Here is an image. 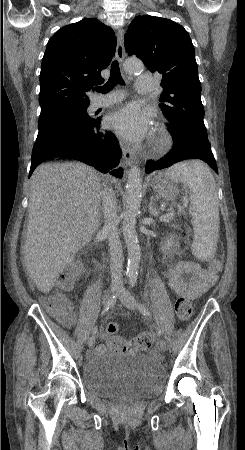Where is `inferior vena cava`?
<instances>
[{"label":"inferior vena cava","instance_id":"1","mask_svg":"<svg viewBox=\"0 0 245 450\" xmlns=\"http://www.w3.org/2000/svg\"><path fill=\"white\" fill-rule=\"evenodd\" d=\"M117 200L112 189L105 187L102 192V206L104 213V232L108 237L111 264L110 272L112 284L122 285V245L118 235Z\"/></svg>","mask_w":245,"mask_h":450}]
</instances>
